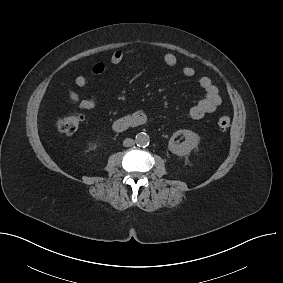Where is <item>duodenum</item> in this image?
Here are the masks:
<instances>
[{
  "label": "duodenum",
  "mask_w": 283,
  "mask_h": 283,
  "mask_svg": "<svg viewBox=\"0 0 283 283\" xmlns=\"http://www.w3.org/2000/svg\"><path fill=\"white\" fill-rule=\"evenodd\" d=\"M145 120L135 115H129L117 119L113 123V128L117 132L125 131L131 127H136L144 124Z\"/></svg>",
  "instance_id": "duodenum-1"
}]
</instances>
